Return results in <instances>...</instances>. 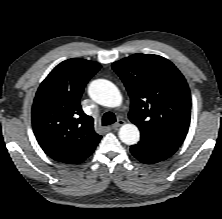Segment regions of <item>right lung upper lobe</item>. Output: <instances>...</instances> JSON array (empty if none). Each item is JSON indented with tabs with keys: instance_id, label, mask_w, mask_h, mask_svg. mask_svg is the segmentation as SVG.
Masks as SVG:
<instances>
[{
	"instance_id": "cb5924a9",
	"label": "right lung upper lobe",
	"mask_w": 222,
	"mask_h": 219,
	"mask_svg": "<svg viewBox=\"0 0 222 219\" xmlns=\"http://www.w3.org/2000/svg\"><path fill=\"white\" fill-rule=\"evenodd\" d=\"M99 63L72 58L57 65L41 83L32 107L36 139L52 159L79 164L92 154L101 136L93 118L81 108L80 98Z\"/></svg>"
}]
</instances>
